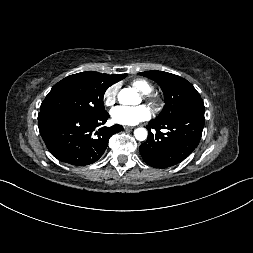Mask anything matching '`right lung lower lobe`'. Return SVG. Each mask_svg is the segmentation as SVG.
Segmentation results:
<instances>
[{
    "instance_id": "98d812e1",
    "label": "right lung lower lobe",
    "mask_w": 253,
    "mask_h": 253,
    "mask_svg": "<svg viewBox=\"0 0 253 253\" xmlns=\"http://www.w3.org/2000/svg\"><path fill=\"white\" fill-rule=\"evenodd\" d=\"M109 114L86 116L66 112H40V134L50 153L62 162L85 166L97 161L105 152L109 138L123 130L121 125H103Z\"/></svg>"
}]
</instances>
